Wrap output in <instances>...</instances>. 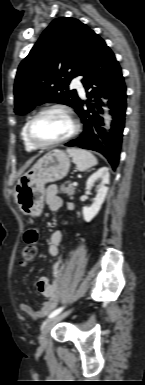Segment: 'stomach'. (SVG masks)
Listing matches in <instances>:
<instances>
[{
	"label": "stomach",
	"instance_id": "stomach-1",
	"mask_svg": "<svg viewBox=\"0 0 145 385\" xmlns=\"http://www.w3.org/2000/svg\"><path fill=\"white\" fill-rule=\"evenodd\" d=\"M70 168L69 156L54 149L40 158L15 186V202L26 215L39 216L44 207L45 185L67 176Z\"/></svg>",
	"mask_w": 145,
	"mask_h": 385
}]
</instances>
